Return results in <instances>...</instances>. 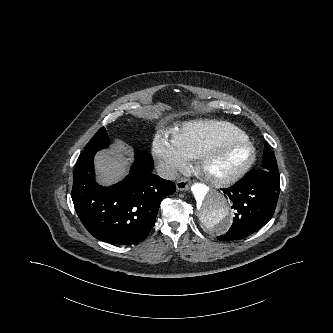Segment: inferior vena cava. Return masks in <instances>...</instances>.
Listing matches in <instances>:
<instances>
[{
	"mask_svg": "<svg viewBox=\"0 0 333 333\" xmlns=\"http://www.w3.org/2000/svg\"><path fill=\"white\" fill-rule=\"evenodd\" d=\"M157 174L167 180H175L178 177V172L173 165H169L167 163L159 164L156 167Z\"/></svg>",
	"mask_w": 333,
	"mask_h": 333,
	"instance_id": "1",
	"label": "inferior vena cava"
}]
</instances>
